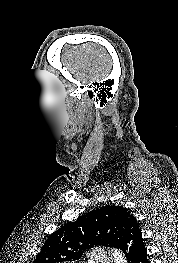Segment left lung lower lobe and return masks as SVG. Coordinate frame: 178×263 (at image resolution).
<instances>
[{
  "label": "left lung lower lobe",
  "mask_w": 178,
  "mask_h": 263,
  "mask_svg": "<svg viewBox=\"0 0 178 263\" xmlns=\"http://www.w3.org/2000/svg\"><path fill=\"white\" fill-rule=\"evenodd\" d=\"M118 249L125 253L129 263H150L147 259L142 234L134 216H131L123 232Z\"/></svg>",
  "instance_id": "0a47b994"
}]
</instances>
